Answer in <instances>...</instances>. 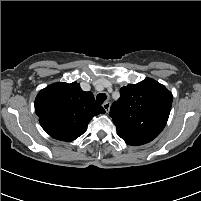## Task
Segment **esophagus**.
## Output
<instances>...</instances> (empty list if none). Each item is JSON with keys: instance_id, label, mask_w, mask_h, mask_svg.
Segmentation results:
<instances>
[{"instance_id": "34e87169", "label": "esophagus", "mask_w": 201, "mask_h": 201, "mask_svg": "<svg viewBox=\"0 0 201 201\" xmlns=\"http://www.w3.org/2000/svg\"><path fill=\"white\" fill-rule=\"evenodd\" d=\"M111 103L109 101L104 102L103 108L108 113L110 111Z\"/></svg>"}]
</instances>
